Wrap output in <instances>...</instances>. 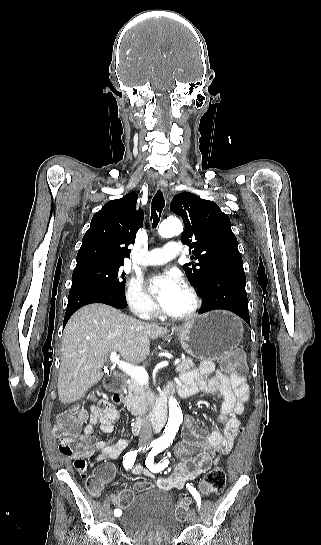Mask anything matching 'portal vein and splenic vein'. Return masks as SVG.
Listing matches in <instances>:
<instances>
[{
    "label": "portal vein and splenic vein",
    "mask_w": 321,
    "mask_h": 545,
    "mask_svg": "<svg viewBox=\"0 0 321 545\" xmlns=\"http://www.w3.org/2000/svg\"><path fill=\"white\" fill-rule=\"evenodd\" d=\"M110 361L112 363H116L118 365V369H121V371H124L126 375H129L131 379H135V381H138L140 385H146L149 381V375L143 367H135V365H130V363H124V361H120L119 355L117 353H111L110 355ZM175 366H178L180 364V359H174Z\"/></svg>",
    "instance_id": "portal-vein-and-splenic-vein-1"
}]
</instances>
